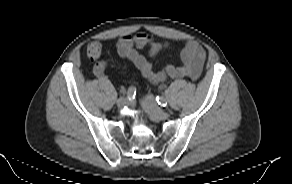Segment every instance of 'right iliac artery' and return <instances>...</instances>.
Instances as JSON below:
<instances>
[{
	"label": "right iliac artery",
	"instance_id": "1",
	"mask_svg": "<svg viewBox=\"0 0 292 184\" xmlns=\"http://www.w3.org/2000/svg\"><path fill=\"white\" fill-rule=\"evenodd\" d=\"M135 94H136V89H135V87H133V86L129 87L128 92H127V98H128L129 100H131L132 98L135 97Z\"/></svg>",
	"mask_w": 292,
	"mask_h": 184
}]
</instances>
